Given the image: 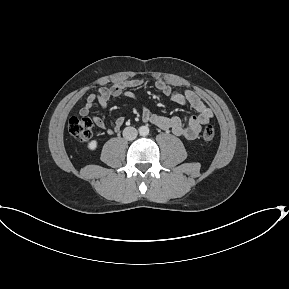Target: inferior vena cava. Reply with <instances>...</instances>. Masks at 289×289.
<instances>
[{
    "instance_id": "602c4592",
    "label": "inferior vena cava",
    "mask_w": 289,
    "mask_h": 289,
    "mask_svg": "<svg viewBox=\"0 0 289 289\" xmlns=\"http://www.w3.org/2000/svg\"><path fill=\"white\" fill-rule=\"evenodd\" d=\"M138 135V132L136 130V128L134 127H126L124 130H123V137L126 139V140H134Z\"/></svg>"
}]
</instances>
